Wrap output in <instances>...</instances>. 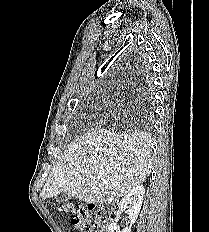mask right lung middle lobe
<instances>
[{
  "label": "right lung middle lobe",
  "mask_w": 209,
  "mask_h": 232,
  "mask_svg": "<svg viewBox=\"0 0 209 232\" xmlns=\"http://www.w3.org/2000/svg\"><path fill=\"white\" fill-rule=\"evenodd\" d=\"M144 94L142 99L140 100V110L138 115L136 116V121L140 124L144 129L148 130L151 128V118L153 114V94L150 90V87L145 85Z\"/></svg>",
  "instance_id": "right-lung-middle-lobe-1"
}]
</instances>
